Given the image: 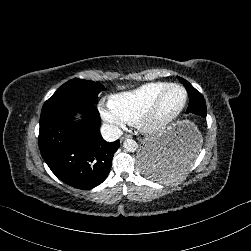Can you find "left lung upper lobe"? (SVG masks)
Returning <instances> with one entry per match:
<instances>
[{"label":"left lung upper lobe","instance_id":"5c2ea615","mask_svg":"<svg viewBox=\"0 0 251 251\" xmlns=\"http://www.w3.org/2000/svg\"><path fill=\"white\" fill-rule=\"evenodd\" d=\"M178 79L181 83H183L187 92H189L193 97H199L203 101H205L203 96L188 81H186L185 79L180 78V77H178Z\"/></svg>","mask_w":251,"mask_h":251}]
</instances>
